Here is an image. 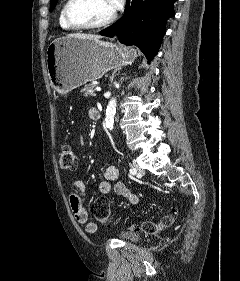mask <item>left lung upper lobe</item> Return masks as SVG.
<instances>
[{
	"instance_id": "5c2ea615",
	"label": "left lung upper lobe",
	"mask_w": 240,
	"mask_h": 281,
	"mask_svg": "<svg viewBox=\"0 0 240 281\" xmlns=\"http://www.w3.org/2000/svg\"><path fill=\"white\" fill-rule=\"evenodd\" d=\"M57 2H58V0H51L50 1V11L55 7Z\"/></svg>"
}]
</instances>
